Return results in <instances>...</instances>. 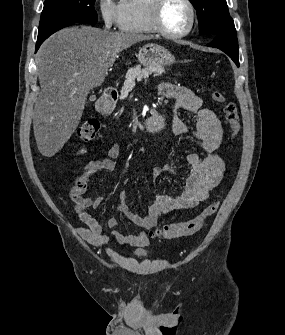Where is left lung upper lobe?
Here are the masks:
<instances>
[{"label":"left lung upper lobe","mask_w":285,"mask_h":335,"mask_svg":"<svg viewBox=\"0 0 285 335\" xmlns=\"http://www.w3.org/2000/svg\"><path fill=\"white\" fill-rule=\"evenodd\" d=\"M197 9L199 33L211 36L235 34L226 0H190Z\"/></svg>","instance_id":"1"}]
</instances>
